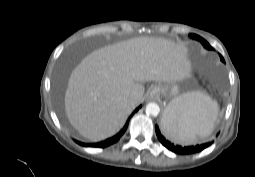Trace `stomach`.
Returning a JSON list of instances; mask_svg holds the SVG:
<instances>
[{
  "instance_id": "0dacf381",
  "label": "stomach",
  "mask_w": 255,
  "mask_h": 177,
  "mask_svg": "<svg viewBox=\"0 0 255 177\" xmlns=\"http://www.w3.org/2000/svg\"><path fill=\"white\" fill-rule=\"evenodd\" d=\"M154 88L158 91L159 94H165L169 91L170 95L176 97L179 94V86L177 84H170V85H161L158 84L154 86ZM170 111V105H168L164 111L162 121L165 119L167 113Z\"/></svg>"
}]
</instances>
